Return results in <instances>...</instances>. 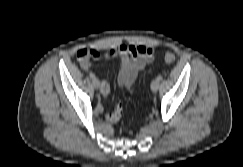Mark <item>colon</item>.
Wrapping results in <instances>:
<instances>
[{
	"instance_id": "1",
	"label": "colon",
	"mask_w": 243,
	"mask_h": 167,
	"mask_svg": "<svg viewBox=\"0 0 243 167\" xmlns=\"http://www.w3.org/2000/svg\"><path fill=\"white\" fill-rule=\"evenodd\" d=\"M89 53H90V50H88V49H81V50H79L77 52V59L78 60L79 59H83V58L87 57L89 55ZM164 60H165L166 63L172 64V63L175 62L176 57H175V55L173 53L167 52L164 55Z\"/></svg>"
}]
</instances>
